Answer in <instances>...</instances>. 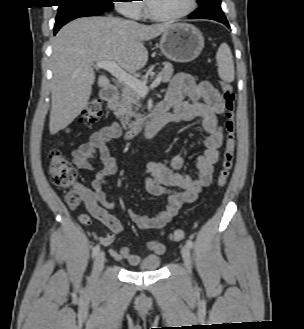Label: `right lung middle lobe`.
I'll return each mask as SVG.
<instances>
[{"mask_svg":"<svg viewBox=\"0 0 304 329\" xmlns=\"http://www.w3.org/2000/svg\"><path fill=\"white\" fill-rule=\"evenodd\" d=\"M56 21L76 12L85 10L109 11L113 9V0H58Z\"/></svg>","mask_w":304,"mask_h":329,"instance_id":"1","label":"right lung middle lobe"}]
</instances>
